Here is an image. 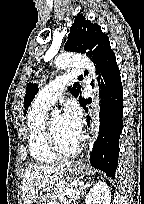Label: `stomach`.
<instances>
[{
	"mask_svg": "<svg viewBox=\"0 0 144 204\" xmlns=\"http://www.w3.org/2000/svg\"><path fill=\"white\" fill-rule=\"evenodd\" d=\"M83 173H84V169L79 163H77L75 166H69L64 173V178L62 179V182H67L68 184H71L72 182H76L78 179V176ZM55 189H57V186L55 185L42 188L40 193H38L35 199L33 200L32 204H44L48 199L47 197Z\"/></svg>",
	"mask_w": 144,
	"mask_h": 204,
	"instance_id": "1",
	"label": "stomach"
}]
</instances>
